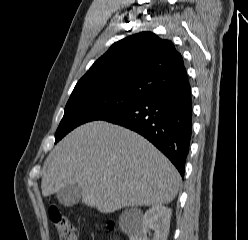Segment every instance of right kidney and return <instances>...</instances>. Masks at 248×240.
Returning a JSON list of instances; mask_svg holds the SVG:
<instances>
[{"mask_svg":"<svg viewBox=\"0 0 248 240\" xmlns=\"http://www.w3.org/2000/svg\"><path fill=\"white\" fill-rule=\"evenodd\" d=\"M172 210L165 206H153L145 212L127 234L130 240H149L147 233L154 231L152 240H167Z\"/></svg>","mask_w":248,"mask_h":240,"instance_id":"right-kidney-1","label":"right kidney"}]
</instances>
